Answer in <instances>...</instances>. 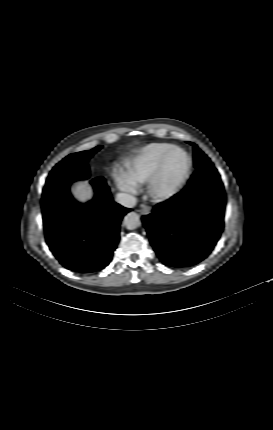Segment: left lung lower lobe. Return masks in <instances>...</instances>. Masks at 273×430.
<instances>
[{
	"instance_id": "1",
	"label": "left lung lower lobe",
	"mask_w": 273,
	"mask_h": 430,
	"mask_svg": "<svg viewBox=\"0 0 273 430\" xmlns=\"http://www.w3.org/2000/svg\"><path fill=\"white\" fill-rule=\"evenodd\" d=\"M225 203L216 168L210 165L196 169L179 193L142 217L159 259L174 268L204 260L223 231Z\"/></svg>"
}]
</instances>
